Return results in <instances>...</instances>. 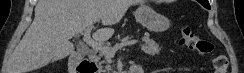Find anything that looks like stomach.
I'll return each instance as SVG.
<instances>
[{"label":"stomach","instance_id":"1","mask_svg":"<svg viewBox=\"0 0 244 73\" xmlns=\"http://www.w3.org/2000/svg\"><path fill=\"white\" fill-rule=\"evenodd\" d=\"M136 21L147 28L149 31L160 33L166 31L170 27L169 19L156 12L148 5H141L134 12Z\"/></svg>","mask_w":244,"mask_h":73}]
</instances>
